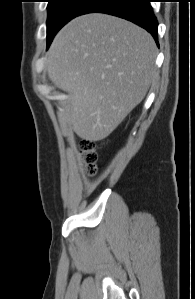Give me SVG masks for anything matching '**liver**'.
<instances>
[{
  "mask_svg": "<svg viewBox=\"0 0 195 299\" xmlns=\"http://www.w3.org/2000/svg\"><path fill=\"white\" fill-rule=\"evenodd\" d=\"M156 45L144 29L100 13L65 25L48 52L51 80L67 92L64 117L88 141L109 136L156 77Z\"/></svg>",
  "mask_w": 195,
  "mask_h": 299,
  "instance_id": "obj_1",
  "label": "liver"
}]
</instances>
